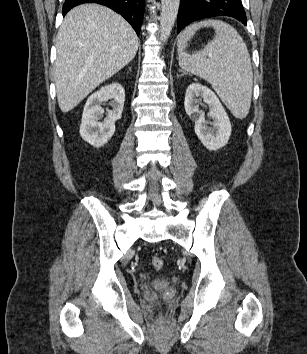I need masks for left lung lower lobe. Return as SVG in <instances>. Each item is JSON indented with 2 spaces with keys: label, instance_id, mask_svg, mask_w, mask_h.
Segmentation results:
<instances>
[{
  "label": "left lung lower lobe",
  "instance_id": "obj_1",
  "mask_svg": "<svg viewBox=\"0 0 307 354\" xmlns=\"http://www.w3.org/2000/svg\"><path fill=\"white\" fill-rule=\"evenodd\" d=\"M215 16L233 17L247 25L241 0H180L177 31L193 21Z\"/></svg>",
  "mask_w": 307,
  "mask_h": 354
}]
</instances>
